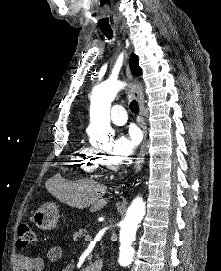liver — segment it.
<instances>
[{
    "mask_svg": "<svg viewBox=\"0 0 221 271\" xmlns=\"http://www.w3.org/2000/svg\"><path fill=\"white\" fill-rule=\"evenodd\" d=\"M46 187L62 203H67L71 207H78V209L89 207V205H93L94 209H101L107 203L105 197L98 199L97 193V191H101V195H103L106 191V185L98 183L94 179H78L76 183H68V181L59 177V179L53 181L52 189L50 183H46Z\"/></svg>",
    "mask_w": 221,
    "mask_h": 271,
    "instance_id": "6515ba94",
    "label": "liver"
}]
</instances>
